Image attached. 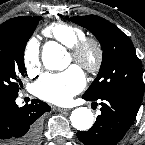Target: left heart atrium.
I'll use <instances>...</instances> for the list:
<instances>
[{
  "instance_id": "1",
  "label": "left heart atrium",
  "mask_w": 145,
  "mask_h": 145,
  "mask_svg": "<svg viewBox=\"0 0 145 145\" xmlns=\"http://www.w3.org/2000/svg\"><path fill=\"white\" fill-rule=\"evenodd\" d=\"M85 77L82 70L72 65L60 73H46L34 85L35 94L46 101L65 104L83 89Z\"/></svg>"
}]
</instances>
